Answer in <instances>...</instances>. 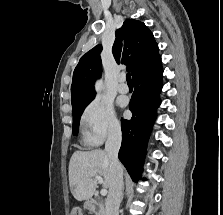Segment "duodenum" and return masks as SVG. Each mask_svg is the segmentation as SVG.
<instances>
[{"mask_svg": "<svg viewBox=\"0 0 223 215\" xmlns=\"http://www.w3.org/2000/svg\"><path fill=\"white\" fill-rule=\"evenodd\" d=\"M85 208L92 215H105L104 207L101 204V201H97L93 198H87L86 203H85Z\"/></svg>", "mask_w": 223, "mask_h": 215, "instance_id": "1", "label": "duodenum"}]
</instances>
